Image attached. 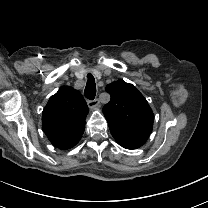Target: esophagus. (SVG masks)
<instances>
[{
    "mask_svg": "<svg viewBox=\"0 0 208 208\" xmlns=\"http://www.w3.org/2000/svg\"><path fill=\"white\" fill-rule=\"evenodd\" d=\"M99 103H100L99 100L95 99V100H89L87 102V105L89 108H94V107L98 106Z\"/></svg>",
    "mask_w": 208,
    "mask_h": 208,
    "instance_id": "34e87169",
    "label": "esophagus"
}]
</instances>
